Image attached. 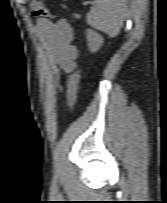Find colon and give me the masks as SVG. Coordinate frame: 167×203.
Listing matches in <instances>:
<instances>
[{
    "instance_id": "5ec220e1",
    "label": "colon",
    "mask_w": 167,
    "mask_h": 203,
    "mask_svg": "<svg viewBox=\"0 0 167 203\" xmlns=\"http://www.w3.org/2000/svg\"><path fill=\"white\" fill-rule=\"evenodd\" d=\"M30 8H31L32 14L35 17H41V18L53 17L50 11L45 7V5L42 3L41 0H31ZM80 75H81V66L79 65L69 78L68 96H69V101L71 103L72 110H74L76 106Z\"/></svg>"
}]
</instances>
